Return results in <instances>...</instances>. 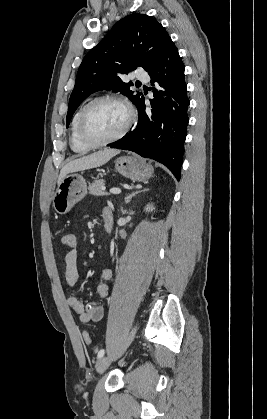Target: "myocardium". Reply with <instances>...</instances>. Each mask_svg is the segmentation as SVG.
<instances>
[{
  "label": "myocardium",
  "mask_w": 267,
  "mask_h": 419,
  "mask_svg": "<svg viewBox=\"0 0 267 419\" xmlns=\"http://www.w3.org/2000/svg\"><path fill=\"white\" fill-rule=\"evenodd\" d=\"M104 101H114V102H118L122 104L126 108V111H127V120L124 126L122 127V129L114 136L105 140L95 141V140L90 139L86 135L84 131V122L90 108L94 106L95 104L104 102ZM134 121H135L134 108L126 98L119 95H115V94L102 95V96H98L92 99L82 108L79 114L78 123H77V135H78L79 140L86 146L91 147V148L101 147V146H105L110 143L116 142L120 140L121 138H123L129 131V129L131 128Z\"/></svg>",
  "instance_id": "myocardium-1"
}]
</instances>
